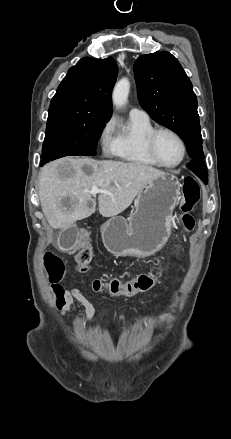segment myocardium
I'll use <instances>...</instances> for the list:
<instances>
[{"label":"myocardium","mask_w":231,"mask_h":439,"mask_svg":"<svg viewBox=\"0 0 231 439\" xmlns=\"http://www.w3.org/2000/svg\"><path fill=\"white\" fill-rule=\"evenodd\" d=\"M169 133L172 136H174L177 141L179 142L180 146H181V157L178 160V162L174 163V164H166L164 163L158 156L157 151H156V139L158 137L159 134L161 133ZM145 147H146V151L149 155V157L160 167L163 168H167V169H173L178 167L179 165H181V163L184 161L185 157H186V153H187V148H186V144L185 141L183 140V138L181 137V135L176 132L175 130L168 128V127H159V128H154L147 136L145 139Z\"/></svg>","instance_id":"obj_1"}]
</instances>
